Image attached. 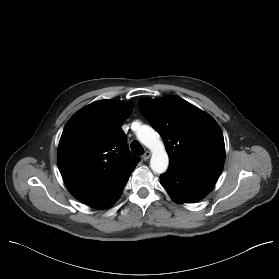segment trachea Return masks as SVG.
Listing matches in <instances>:
<instances>
[{
	"mask_svg": "<svg viewBox=\"0 0 279 279\" xmlns=\"http://www.w3.org/2000/svg\"><path fill=\"white\" fill-rule=\"evenodd\" d=\"M131 150H132V152H133L134 154H136V155H142V154H144V149H143V147H142L141 144H140L138 141H136V140L132 141V143H131Z\"/></svg>",
	"mask_w": 279,
	"mask_h": 279,
	"instance_id": "1",
	"label": "trachea"
}]
</instances>
